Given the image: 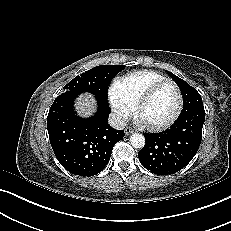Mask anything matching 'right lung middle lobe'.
Segmentation results:
<instances>
[{
    "label": "right lung middle lobe",
    "mask_w": 231,
    "mask_h": 231,
    "mask_svg": "<svg viewBox=\"0 0 231 231\" xmlns=\"http://www.w3.org/2000/svg\"><path fill=\"white\" fill-rule=\"evenodd\" d=\"M124 68V65L96 66L76 76L65 85L64 90H76L78 93L90 92L96 96L97 100L108 104L107 91L109 83Z\"/></svg>",
    "instance_id": "obj_1"
}]
</instances>
